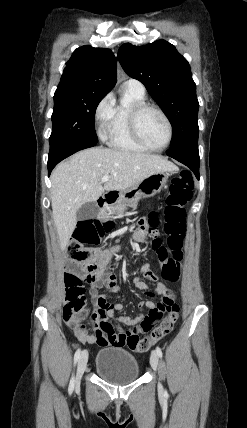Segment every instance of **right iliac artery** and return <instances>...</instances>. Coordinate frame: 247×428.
<instances>
[{"instance_id": "obj_1", "label": "right iliac artery", "mask_w": 247, "mask_h": 428, "mask_svg": "<svg viewBox=\"0 0 247 428\" xmlns=\"http://www.w3.org/2000/svg\"><path fill=\"white\" fill-rule=\"evenodd\" d=\"M80 355H81V349L79 348V349H77V351L74 354V365L77 363ZM74 384H75V379H74V375H72V378H71L70 383H69V388H68V391L70 394L74 390Z\"/></svg>"}]
</instances>
